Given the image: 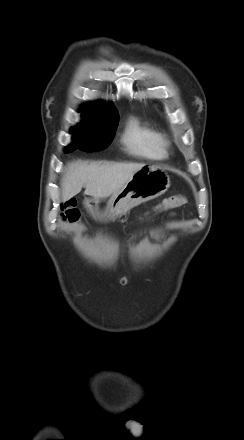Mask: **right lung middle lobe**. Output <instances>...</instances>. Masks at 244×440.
Here are the masks:
<instances>
[{
	"label": "right lung middle lobe",
	"mask_w": 244,
	"mask_h": 440,
	"mask_svg": "<svg viewBox=\"0 0 244 440\" xmlns=\"http://www.w3.org/2000/svg\"><path fill=\"white\" fill-rule=\"evenodd\" d=\"M118 123L110 126H94L80 123L71 129L74 142L66 147V152L80 149L86 152L101 151L112 142Z\"/></svg>",
	"instance_id": "1"
}]
</instances>
